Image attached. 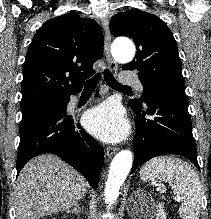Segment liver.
<instances>
[{"instance_id":"liver-1","label":"liver","mask_w":211,"mask_h":219,"mask_svg":"<svg viewBox=\"0 0 211 219\" xmlns=\"http://www.w3.org/2000/svg\"><path fill=\"white\" fill-rule=\"evenodd\" d=\"M88 183L59 157L43 154L30 160L16 183V219H39L74 206L87 192Z\"/></svg>"}]
</instances>
